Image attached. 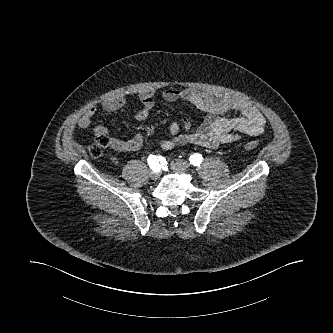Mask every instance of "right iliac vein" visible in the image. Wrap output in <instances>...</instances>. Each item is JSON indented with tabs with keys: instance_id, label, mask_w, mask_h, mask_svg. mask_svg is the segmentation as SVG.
Returning <instances> with one entry per match:
<instances>
[{
	"instance_id": "right-iliac-vein-1",
	"label": "right iliac vein",
	"mask_w": 333,
	"mask_h": 333,
	"mask_svg": "<svg viewBox=\"0 0 333 333\" xmlns=\"http://www.w3.org/2000/svg\"><path fill=\"white\" fill-rule=\"evenodd\" d=\"M159 171H151L150 172V177L152 178V179H158V177H159Z\"/></svg>"
}]
</instances>
